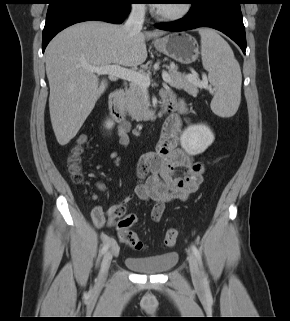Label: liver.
I'll return each instance as SVG.
<instances>
[{
    "label": "liver",
    "mask_w": 290,
    "mask_h": 321,
    "mask_svg": "<svg viewBox=\"0 0 290 321\" xmlns=\"http://www.w3.org/2000/svg\"><path fill=\"white\" fill-rule=\"evenodd\" d=\"M164 31L128 33L122 25L101 21L74 24L57 34L45 51L49 111L56 139H73L108 87L88 67H136L147 59L145 40Z\"/></svg>",
    "instance_id": "obj_1"
}]
</instances>
